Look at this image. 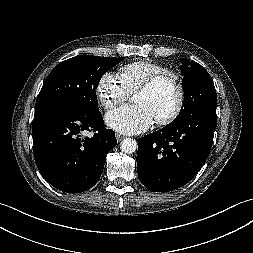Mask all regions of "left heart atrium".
<instances>
[{
  "label": "left heart atrium",
  "mask_w": 253,
  "mask_h": 253,
  "mask_svg": "<svg viewBox=\"0 0 253 253\" xmlns=\"http://www.w3.org/2000/svg\"><path fill=\"white\" fill-rule=\"evenodd\" d=\"M154 121L152 111L144 104L124 105L106 115L107 125L124 134L141 133Z\"/></svg>",
  "instance_id": "1"
}]
</instances>
